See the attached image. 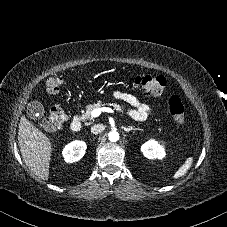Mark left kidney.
I'll return each instance as SVG.
<instances>
[{
  "instance_id": "1",
  "label": "left kidney",
  "mask_w": 227,
  "mask_h": 227,
  "mask_svg": "<svg viewBox=\"0 0 227 227\" xmlns=\"http://www.w3.org/2000/svg\"><path fill=\"white\" fill-rule=\"evenodd\" d=\"M141 152L148 159H162L166 153L162 145L151 139L141 146Z\"/></svg>"
}]
</instances>
